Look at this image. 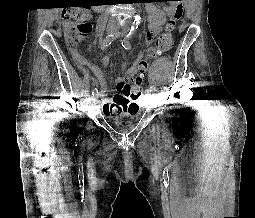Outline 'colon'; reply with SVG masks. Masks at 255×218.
<instances>
[{
	"label": "colon",
	"instance_id": "5ec220e1",
	"mask_svg": "<svg viewBox=\"0 0 255 218\" xmlns=\"http://www.w3.org/2000/svg\"><path fill=\"white\" fill-rule=\"evenodd\" d=\"M172 3L179 4L182 0H166ZM182 9L177 7L176 11L169 16L166 28L164 32L158 37L156 41V51L157 53L164 52L168 50L172 45L174 27L177 19L180 17ZM62 20L65 26V37L66 42L74 55L77 62L81 64V58L76 52L78 44L90 33L92 28V16L90 12L83 7H68L64 9L61 13ZM140 72L145 70V63L141 62L139 64ZM124 90L129 94L130 98H135L140 96L142 93V80L137 77L134 82L129 85L124 86ZM136 106L131 104L121 105L116 112H135Z\"/></svg>",
	"mask_w": 255,
	"mask_h": 218
}]
</instances>
